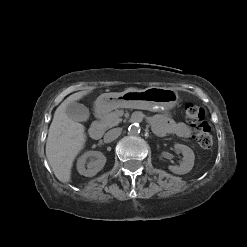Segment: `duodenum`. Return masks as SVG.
I'll return each mask as SVG.
<instances>
[{
    "mask_svg": "<svg viewBox=\"0 0 247 247\" xmlns=\"http://www.w3.org/2000/svg\"><path fill=\"white\" fill-rule=\"evenodd\" d=\"M102 113L101 109H98L96 111L97 116H100ZM89 135L94 140H99L103 135V127L99 122H95L91 125L89 129Z\"/></svg>",
    "mask_w": 247,
    "mask_h": 247,
    "instance_id": "410a0bca",
    "label": "duodenum"
}]
</instances>
